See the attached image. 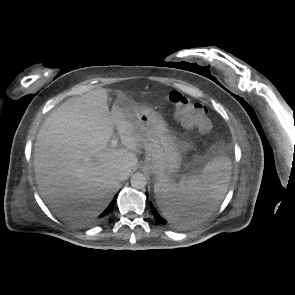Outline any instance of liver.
<instances>
[{
    "instance_id": "obj_1",
    "label": "liver",
    "mask_w": 295,
    "mask_h": 295,
    "mask_svg": "<svg viewBox=\"0 0 295 295\" xmlns=\"http://www.w3.org/2000/svg\"><path fill=\"white\" fill-rule=\"evenodd\" d=\"M115 127L119 148L109 146ZM141 143L118 102L109 111L106 89L67 100L37 135L34 170L40 194L53 207H70L71 215L59 214L67 220L100 214L119 187L120 172L127 178L137 165ZM86 157L92 160L86 163Z\"/></svg>"
}]
</instances>
